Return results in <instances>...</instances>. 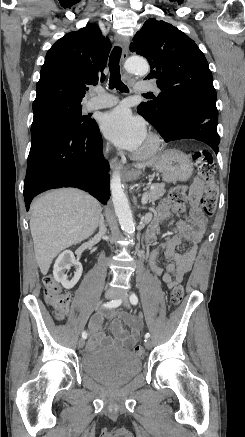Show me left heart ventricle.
Wrapping results in <instances>:
<instances>
[{"mask_svg":"<svg viewBox=\"0 0 245 437\" xmlns=\"http://www.w3.org/2000/svg\"><path fill=\"white\" fill-rule=\"evenodd\" d=\"M146 147H147V142L145 139V141L143 142L142 146L140 147V149L138 151L144 150Z\"/></svg>","mask_w":245,"mask_h":437,"instance_id":"b2bd125f","label":"left heart ventricle"}]
</instances>
